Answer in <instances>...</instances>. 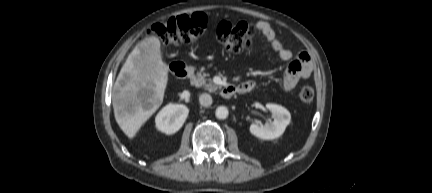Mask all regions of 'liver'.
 Returning <instances> with one entry per match:
<instances>
[{
  "instance_id": "liver-1",
  "label": "liver",
  "mask_w": 432,
  "mask_h": 193,
  "mask_svg": "<svg viewBox=\"0 0 432 193\" xmlns=\"http://www.w3.org/2000/svg\"><path fill=\"white\" fill-rule=\"evenodd\" d=\"M168 83V66L162 60L161 45L151 36L138 43L120 70L113 88L116 122L133 138L163 102Z\"/></svg>"
}]
</instances>
